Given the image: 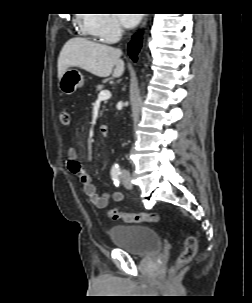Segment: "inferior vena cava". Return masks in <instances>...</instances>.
<instances>
[{"mask_svg": "<svg viewBox=\"0 0 252 303\" xmlns=\"http://www.w3.org/2000/svg\"><path fill=\"white\" fill-rule=\"evenodd\" d=\"M119 51H120V50H119ZM122 173H127V171H126V170H123Z\"/></svg>", "mask_w": 252, "mask_h": 303, "instance_id": "inferior-vena-cava-1", "label": "inferior vena cava"}]
</instances>
